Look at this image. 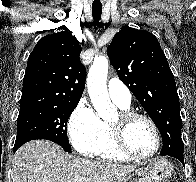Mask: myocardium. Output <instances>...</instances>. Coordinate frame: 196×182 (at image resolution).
I'll use <instances>...</instances> for the list:
<instances>
[{"label": "myocardium", "mask_w": 196, "mask_h": 182, "mask_svg": "<svg viewBox=\"0 0 196 182\" xmlns=\"http://www.w3.org/2000/svg\"><path fill=\"white\" fill-rule=\"evenodd\" d=\"M137 119H142L144 121H146L151 128L153 129V132L155 134V139H156V145L154 150L147 154V155H140L137 154L135 152H133L129 146L126 143L125 140V130L127 128V126L133 122L134 120ZM109 128H110V133H111V138L113 141V144L115 146V148L124 156L131 158V159H135V160H147L150 159L152 157H154L160 150L161 148V133L160 130L157 126V124L155 123V121L149 117L148 115L139 113V112H135L132 110H122L119 112L118 114V121L117 123L113 124L110 123L109 124Z\"/></svg>", "instance_id": "obj_1"}]
</instances>
